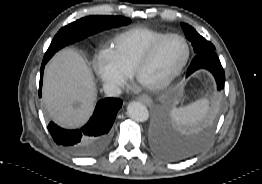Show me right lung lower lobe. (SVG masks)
I'll list each match as a JSON object with an SVG mask.
<instances>
[{
  "instance_id": "right-lung-lower-lobe-1",
  "label": "right lung lower lobe",
  "mask_w": 262,
  "mask_h": 184,
  "mask_svg": "<svg viewBox=\"0 0 262 184\" xmlns=\"http://www.w3.org/2000/svg\"><path fill=\"white\" fill-rule=\"evenodd\" d=\"M46 63L42 62L40 70V96L43 70ZM121 105L122 101L117 98L102 99L97 103L93 116L82 128L66 130L50 122L48 130L54 141L58 145H62L72 154L77 156L97 155L102 152L110 142V129Z\"/></svg>"
}]
</instances>
